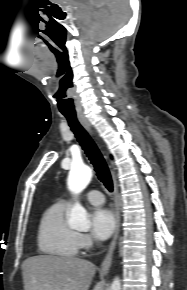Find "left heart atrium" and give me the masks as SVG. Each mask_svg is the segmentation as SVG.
I'll return each instance as SVG.
<instances>
[{
	"mask_svg": "<svg viewBox=\"0 0 187 290\" xmlns=\"http://www.w3.org/2000/svg\"><path fill=\"white\" fill-rule=\"evenodd\" d=\"M116 228L114 214L104 208H97L91 214V232L97 239H107Z\"/></svg>",
	"mask_w": 187,
	"mask_h": 290,
	"instance_id": "1",
	"label": "left heart atrium"
}]
</instances>
